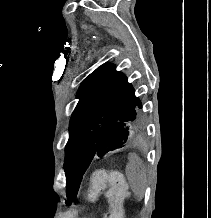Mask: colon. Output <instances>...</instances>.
<instances>
[{
	"mask_svg": "<svg viewBox=\"0 0 211 218\" xmlns=\"http://www.w3.org/2000/svg\"><path fill=\"white\" fill-rule=\"evenodd\" d=\"M102 194L106 196L109 205L103 218H124V201L128 196V187L120 171L99 169L91 173L87 199L95 202Z\"/></svg>",
	"mask_w": 211,
	"mask_h": 218,
	"instance_id": "1",
	"label": "colon"
}]
</instances>
